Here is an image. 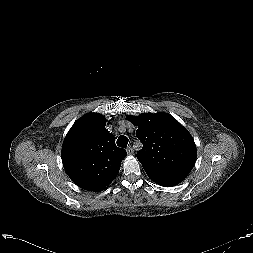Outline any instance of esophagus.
<instances>
[{"label":"esophagus","mask_w":253,"mask_h":253,"mask_svg":"<svg viewBox=\"0 0 253 253\" xmlns=\"http://www.w3.org/2000/svg\"><path fill=\"white\" fill-rule=\"evenodd\" d=\"M133 152H134V150H133L132 146H128V147H127V153H128L129 155H131V154H133Z\"/></svg>","instance_id":"1"}]
</instances>
